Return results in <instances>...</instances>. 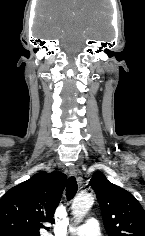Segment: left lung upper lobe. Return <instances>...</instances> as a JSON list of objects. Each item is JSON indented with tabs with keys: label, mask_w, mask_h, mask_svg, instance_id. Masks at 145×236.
<instances>
[{
	"label": "left lung upper lobe",
	"mask_w": 145,
	"mask_h": 236,
	"mask_svg": "<svg viewBox=\"0 0 145 236\" xmlns=\"http://www.w3.org/2000/svg\"><path fill=\"white\" fill-rule=\"evenodd\" d=\"M90 185L109 236H145V211L130 192L110 183L100 172L92 176Z\"/></svg>",
	"instance_id": "obj_1"
}]
</instances>
